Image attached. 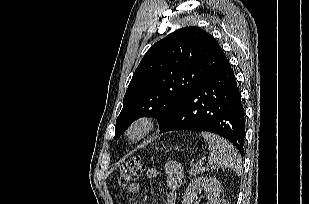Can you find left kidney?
I'll return each instance as SVG.
<instances>
[{"label":"left kidney","instance_id":"1","mask_svg":"<svg viewBox=\"0 0 309 204\" xmlns=\"http://www.w3.org/2000/svg\"><path fill=\"white\" fill-rule=\"evenodd\" d=\"M204 191L208 197L205 204H220L221 183L213 177H198L188 185L182 204H193L197 200V192Z\"/></svg>","mask_w":309,"mask_h":204}]
</instances>
